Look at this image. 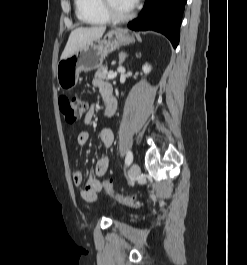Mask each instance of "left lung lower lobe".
Here are the masks:
<instances>
[{"label": "left lung lower lobe", "instance_id": "0a47b994", "mask_svg": "<svg viewBox=\"0 0 247 265\" xmlns=\"http://www.w3.org/2000/svg\"><path fill=\"white\" fill-rule=\"evenodd\" d=\"M187 0H146L138 18L128 27L132 30H154L164 34L176 48L181 18Z\"/></svg>", "mask_w": 247, "mask_h": 265}]
</instances>
